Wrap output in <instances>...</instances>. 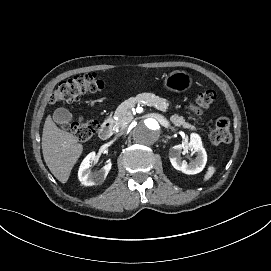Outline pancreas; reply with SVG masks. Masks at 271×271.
I'll use <instances>...</instances> for the list:
<instances>
[{
	"instance_id": "pancreas-1",
	"label": "pancreas",
	"mask_w": 271,
	"mask_h": 271,
	"mask_svg": "<svg viewBox=\"0 0 271 271\" xmlns=\"http://www.w3.org/2000/svg\"><path fill=\"white\" fill-rule=\"evenodd\" d=\"M140 103L144 106H147L151 103L152 106L160 110H165L167 108L165 99L159 98L153 94L149 95L147 93H144L140 97H135L133 100L129 99L122 102L116 108L115 113H114V118H117V119L112 120L114 126L118 129H125L133 118L131 114V109L135 106V104H140ZM168 108L172 109L173 105L169 104ZM171 121L176 126L182 125L185 128H188V127L194 128L190 124H187L184 121V119L180 116H175V115L171 116Z\"/></svg>"
}]
</instances>
